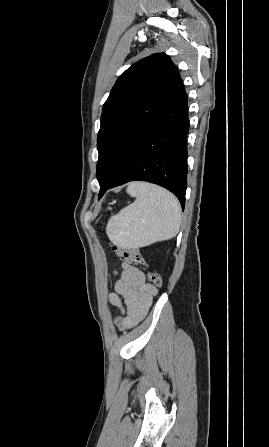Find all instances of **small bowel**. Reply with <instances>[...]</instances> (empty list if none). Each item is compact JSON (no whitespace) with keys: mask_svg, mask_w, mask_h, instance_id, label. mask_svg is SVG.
<instances>
[{"mask_svg":"<svg viewBox=\"0 0 269 447\" xmlns=\"http://www.w3.org/2000/svg\"><path fill=\"white\" fill-rule=\"evenodd\" d=\"M116 274L119 279L114 285L115 293L109 294L110 303L121 312L116 323L121 328L137 325L148 313L158 290L130 263L123 262Z\"/></svg>","mask_w":269,"mask_h":447,"instance_id":"c3829d8e","label":"small bowel"}]
</instances>
